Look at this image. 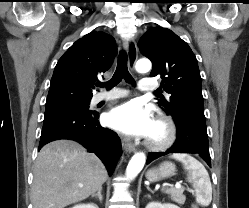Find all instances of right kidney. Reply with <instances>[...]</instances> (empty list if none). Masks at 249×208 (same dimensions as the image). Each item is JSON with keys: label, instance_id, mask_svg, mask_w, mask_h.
Segmentation results:
<instances>
[{"label": "right kidney", "instance_id": "right-kidney-1", "mask_svg": "<svg viewBox=\"0 0 249 208\" xmlns=\"http://www.w3.org/2000/svg\"><path fill=\"white\" fill-rule=\"evenodd\" d=\"M72 208H98V206H96L94 204H80V205H76Z\"/></svg>", "mask_w": 249, "mask_h": 208}]
</instances>
